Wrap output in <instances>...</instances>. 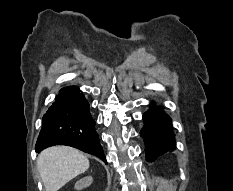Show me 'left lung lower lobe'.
<instances>
[{"instance_id": "left-lung-lower-lobe-1", "label": "left lung lower lobe", "mask_w": 233, "mask_h": 191, "mask_svg": "<svg viewBox=\"0 0 233 191\" xmlns=\"http://www.w3.org/2000/svg\"><path fill=\"white\" fill-rule=\"evenodd\" d=\"M151 109L144 113V127L140 135L145 139V152L149 161H155L161 155L175 150L174 134L170 118L161 107L151 104Z\"/></svg>"}]
</instances>
